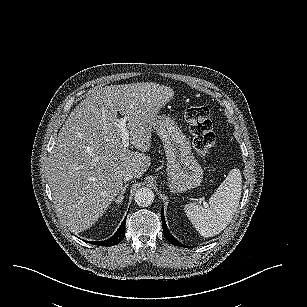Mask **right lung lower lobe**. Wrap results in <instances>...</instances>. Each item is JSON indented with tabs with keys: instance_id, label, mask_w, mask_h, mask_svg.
<instances>
[{
	"instance_id": "obj_1",
	"label": "right lung lower lobe",
	"mask_w": 307,
	"mask_h": 307,
	"mask_svg": "<svg viewBox=\"0 0 307 307\" xmlns=\"http://www.w3.org/2000/svg\"><path fill=\"white\" fill-rule=\"evenodd\" d=\"M125 221H126V218L121 223L117 232L111 238L105 241H100V242L95 241V242H90V243L94 245H98V246H113V245L118 244L125 237ZM85 242H88V241H85Z\"/></svg>"
}]
</instances>
